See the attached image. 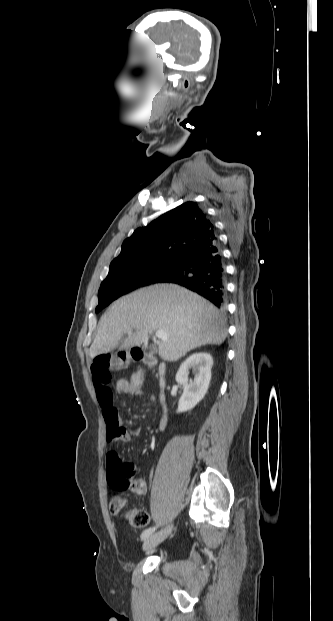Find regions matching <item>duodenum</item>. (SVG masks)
Returning a JSON list of instances; mask_svg holds the SVG:
<instances>
[{"mask_svg": "<svg viewBox=\"0 0 333 621\" xmlns=\"http://www.w3.org/2000/svg\"><path fill=\"white\" fill-rule=\"evenodd\" d=\"M132 357L135 360L143 361L147 365H155L156 364V360L153 357L143 353L141 350H139L137 348H134L132 350ZM165 385H166L165 366L163 364H160L159 365V387H160L159 400H160L161 407H162V412H163V415H162V418H161L160 424H159V428L160 429H163L165 427V425H166V422H167V415H166L167 407H166V403H165V395L163 393Z\"/></svg>", "mask_w": 333, "mask_h": 621, "instance_id": "1", "label": "duodenum"}]
</instances>
